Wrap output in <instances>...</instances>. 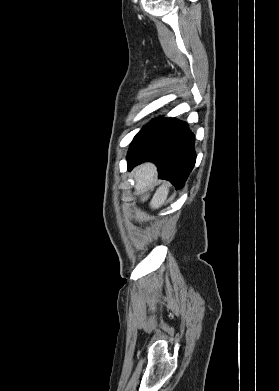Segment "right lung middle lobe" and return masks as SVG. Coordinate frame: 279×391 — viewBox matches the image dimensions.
I'll use <instances>...</instances> for the list:
<instances>
[{"label": "right lung middle lobe", "mask_w": 279, "mask_h": 391, "mask_svg": "<svg viewBox=\"0 0 279 391\" xmlns=\"http://www.w3.org/2000/svg\"><path fill=\"white\" fill-rule=\"evenodd\" d=\"M152 123H153V121H152ZM152 123H150V124H148V125H146L136 136H135V138H134V140L137 138V137H139Z\"/></svg>", "instance_id": "dd1d6c3e"}]
</instances>
